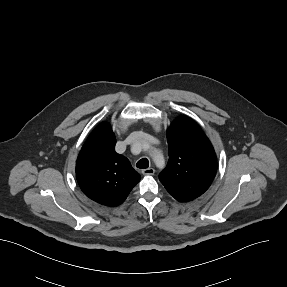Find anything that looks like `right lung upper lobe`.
<instances>
[{
  "mask_svg": "<svg viewBox=\"0 0 287 287\" xmlns=\"http://www.w3.org/2000/svg\"><path fill=\"white\" fill-rule=\"evenodd\" d=\"M116 138L109 123L99 124L84 143L76 163L81 190L101 205L118 206L140 181L129 160L115 152Z\"/></svg>",
  "mask_w": 287,
  "mask_h": 287,
  "instance_id": "cb5924a9",
  "label": "right lung upper lobe"
}]
</instances>
